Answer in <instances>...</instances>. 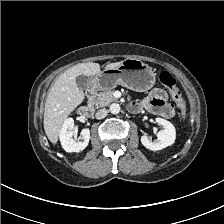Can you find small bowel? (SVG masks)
Wrapping results in <instances>:
<instances>
[{"instance_id":"obj_1","label":"small bowel","mask_w":224,"mask_h":224,"mask_svg":"<svg viewBox=\"0 0 224 224\" xmlns=\"http://www.w3.org/2000/svg\"><path fill=\"white\" fill-rule=\"evenodd\" d=\"M135 103L138 104L140 108H145L148 111L165 118H169L174 115V110L168 104L167 95L162 89H154L145 99Z\"/></svg>"}]
</instances>
